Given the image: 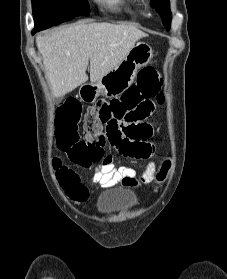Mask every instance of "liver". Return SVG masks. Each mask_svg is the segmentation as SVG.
<instances>
[{
  "label": "liver",
  "mask_w": 227,
  "mask_h": 279,
  "mask_svg": "<svg viewBox=\"0 0 227 279\" xmlns=\"http://www.w3.org/2000/svg\"><path fill=\"white\" fill-rule=\"evenodd\" d=\"M144 37L147 34L131 24L108 22L78 23L38 35L36 43L53 96L61 97L85 83L89 63L90 81H98Z\"/></svg>",
  "instance_id": "6515ba94"
}]
</instances>
